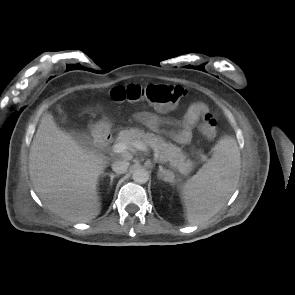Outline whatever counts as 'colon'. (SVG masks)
<instances>
[{"label":"colon","instance_id":"1","mask_svg":"<svg viewBox=\"0 0 295 295\" xmlns=\"http://www.w3.org/2000/svg\"><path fill=\"white\" fill-rule=\"evenodd\" d=\"M186 96V91L180 86L148 84L118 86L110 91V97L115 102H147L160 110L177 106ZM199 131L206 137L216 133V118L213 113L203 115Z\"/></svg>","mask_w":295,"mask_h":295}]
</instances>
